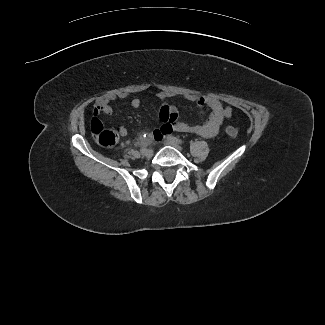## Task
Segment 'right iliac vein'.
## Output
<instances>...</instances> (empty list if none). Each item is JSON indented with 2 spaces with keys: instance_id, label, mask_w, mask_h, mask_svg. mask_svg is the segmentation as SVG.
Returning <instances> with one entry per match:
<instances>
[{
  "instance_id": "right-iliac-vein-1",
  "label": "right iliac vein",
  "mask_w": 325,
  "mask_h": 325,
  "mask_svg": "<svg viewBox=\"0 0 325 325\" xmlns=\"http://www.w3.org/2000/svg\"><path fill=\"white\" fill-rule=\"evenodd\" d=\"M143 155H144L145 157H147V158H151V157L153 156V150H151V149H147V150L143 153Z\"/></svg>"
}]
</instances>
